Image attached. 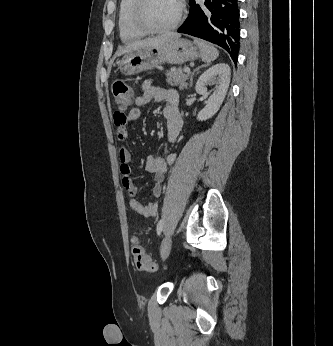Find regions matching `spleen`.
Segmentation results:
<instances>
[{
	"label": "spleen",
	"instance_id": "3e777b00",
	"mask_svg": "<svg viewBox=\"0 0 333 346\" xmlns=\"http://www.w3.org/2000/svg\"><path fill=\"white\" fill-rule=\"evenodd\" d=\"M194 43L199 47L204 62L210 63L219 56V51L209 43L200 39H194Z\"/></svg>",
	"mask_w": 333,
	"mask_h": 346
}]
</instances>
